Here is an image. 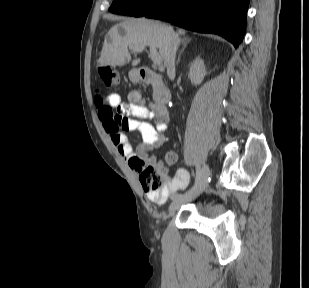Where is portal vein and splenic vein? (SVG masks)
I'll return each instance as SVG.
<instances>
[{"label":"portal vein and splenic vein","instance_id":"18ae733b","mask_svg":"<svg viewBox=\"0 0 309 288\" xmlns=\"http://www.w3.org/2000/svg\"><path fill=\"white\" fill-rule=\"evenodd\" d=\"M144 47H132L131 50L134 52H142ZM150 57L155 65H161L162 64V59L160 55L157 53L156 48H150Z\"/></svg>","mask_w":309,"mask_h":288}]
</instances>
